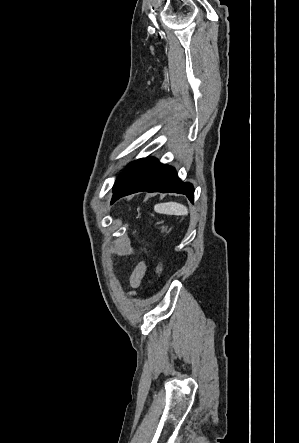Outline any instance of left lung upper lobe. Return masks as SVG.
Masks as SVG:
<instances>
[{"label": "left lung upper lobe", "mask_w": 299, "mask_h": 443, "mask_svg": "<svg viewBox=\"0 0 299 443\" xmlns=\"http://www.w3.org/2000/svg\"><path fill=\"white\" fill-rule=\"evenodd\" d=\"M142 159H138L136 161H133L132 163H130L125 170L120 174V176L117 178L114 187L120 182V180L130 171V169H132L138 162H140Z\"/></svg>", "instance_id": "left-lung-upper-lobe-1"}]
</instances>
